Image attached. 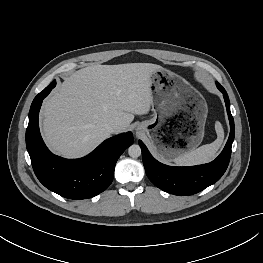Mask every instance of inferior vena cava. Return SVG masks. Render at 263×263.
Returning a JSON list of instances; mask_svg holds the SVG:
<instances>
[{"instance_id":"inferior-vena-cava-1","label":"inferior vena cava","mask_w":263,"mask_h":263,"mask_svg":"<svg viewBox=\"0 0 263 263\" xmlns=\"http://www.w3.org/2000/svg\"><path fill=\"white\" fill-rule=\"evenodd\" d=\"M105 127L109 132L114 133L118 130L119 124L117 122H110V123L106 124Z\"/></svg>"}]
</instances>
